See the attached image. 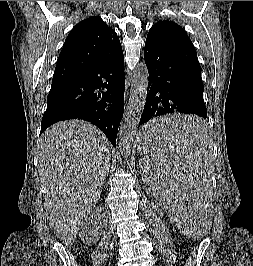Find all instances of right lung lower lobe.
Here are the masks:
<instances>
[{
    "mask_svg": "<svg viewBox=\"0 0 253 266\" xmlns=\"http://www.w3.org/2000/svg\"><path fill=\"white\" fill-rule=\"evenodd\" d=\"M101 88L106 92H99ZM124 56L74 76L51 89L40 134L52 124L82 119L96 125L116 147L124 110Z\"/></svg>",
    "mask_w": 253,
    "mask_h": 266,
    "instance_id": "obj_1",
    "label": "right lung lower lobe"
}]
</instances>
